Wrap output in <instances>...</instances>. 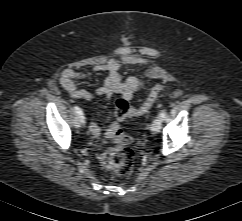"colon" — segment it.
<instances>
[{
  "label": "colon",
  "mask_w": 242,
  "mask_h": 221,
  "mask_svg": "<svg viewBox=\"0 0 242 221\" xmlns=\"http://www.w3.org/2000/svg\"><path fill=\"white\" fill-rule=\"evenodd\" d=\"M161 89L162 85L154 87L139 107L131 106L123 98L115 103L114 120L107 129L108 136L115 144L104 150L99 156L100 164L106 171L118 176H124L130 172L133 154L129 145L132 138L123 132L120 123L128 118L147 113L155 103Z\"/></svg>",
  "instance_id": "colon-1"
}]
</instances>
